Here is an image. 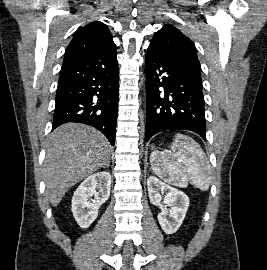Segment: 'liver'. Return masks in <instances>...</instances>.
Listing matches in <instances>:
<instances>
[{"instance_id": "liver-1", "label": "liver", "mask_w": 267, "mask_h": 270, "mask_svg": "<svg viewBox=\"0 0 267 270\" xmlns=\"http://www.w3.org/2000/svg\"><path fill=\"white\" fill-rule=\"evenodd\" d=\"M110 153L107 138L90 126L67 123L54 130L43 165L45 193L52 206L72 186L109 163Z\"/></svg>"}]
</instances>
